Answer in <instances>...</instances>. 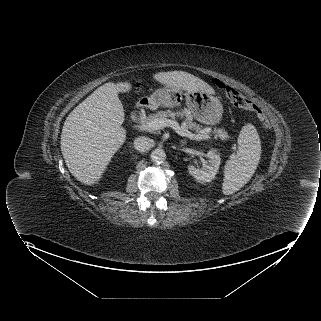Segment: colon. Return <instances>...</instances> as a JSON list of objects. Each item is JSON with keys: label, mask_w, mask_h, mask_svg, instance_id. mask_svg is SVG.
Wrapping results in <instances>:
<instances>
[{"label": "colon", "mask_w": 321, "mask_h": 321, "mask_svg": "<svg viewBox=\"0 0 321 321\" xmlns=\"http://www.w3.org/2000/svg\"><path fill=\"white\" fill-rule=\"evenodd\" d=\"M215 83L219 89L224 91V93L233 105L254 112L259 121L264 125V127H266L267 129L270 128V122L266 113L254 102H252L250 99L238 92L236 89L227 86L224 82L220 80H216Z\"/></svg>", "instance_id": "obj_1"}]
</instances>
